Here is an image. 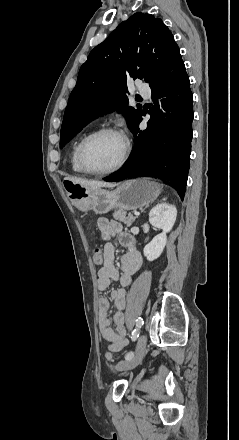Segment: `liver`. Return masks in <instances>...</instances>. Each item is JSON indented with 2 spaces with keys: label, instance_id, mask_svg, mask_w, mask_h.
I'll return each mask as SVG.
<instances>
[{
  "label": "liver",
  "instance_id": "6515ba94",
  "mask_svg": "<svg viewBox=\"0 0 239 440\" xmlns=\"http://www.w3.org/2000/svg\"><path fill=\"white\" fill-rule=\"evenodd\" d=\"M65 180H70L73 184H80L82 188H90V190H95V188H115V186H117V184L94 182V180H82V178H65Z\"/></svg>",
  "mask_w": 239,
  "mask_h": 440
}]
</instances>
